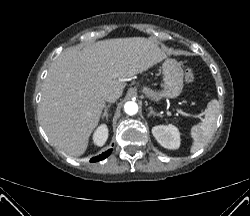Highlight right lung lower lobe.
Instances as JSON below:
<instances>
[{
    "label": "right lung lower lobe",
    "instance_id": "98d812e1",
    "mask_svg": "<svg viewBox=\"0 0 250 216\" xmlns=\"http://www.w3.org/2000/svg\"><path fill=\"white\" fill-rule=\"evenodd\" d=\"M111 152H112V149H109L108 151L102 153L101 155L92 158L90 161H91V162H96V161H99V160H103V159H105L107 156H109Z\"/></svg>",
    "mask_w": 250,
    "mask_h": 216
}]
</instances>
